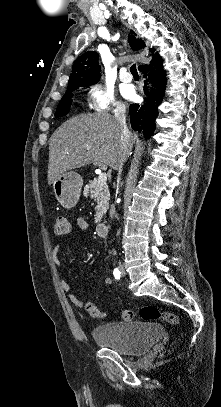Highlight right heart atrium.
Masks as SVG:
<instances>
[{
  "label": "right heart atrium",
  "instance_id": "obj_1",
  "mask_svg": "<svg viewBox=\"0 0 221 407\" xmlns=\"http://www.w3.org/2000/svg\"><path fill=\"white\" fill-rule=\"evenodd\" d=\"M87 103L95 112H123L125 106L118 101L111 89L100 83H93L87 88Z\"/></svg>",
  "mask_w": 221,
  "mask_h": 407
}]
</instances>
